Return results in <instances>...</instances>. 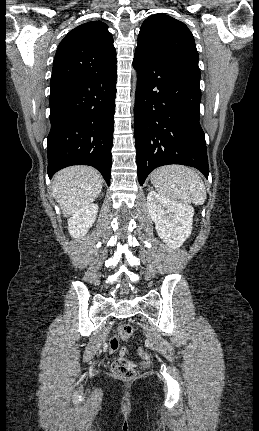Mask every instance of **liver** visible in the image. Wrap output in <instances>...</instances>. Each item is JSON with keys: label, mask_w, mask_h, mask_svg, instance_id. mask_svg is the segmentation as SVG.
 Wrapping results in <instances>:
<instances>
[{"label": "liver", "mask_w": 259, "mask_h": 431, "mask_svg": "<svg viewBox=\"0 0 259 431\" xmlns=\"http://www.w3.org/2000/svg\"><path fill=\"white\" fill-rule=\"evenodd\" d=\"M53 196L65 217L90 205L100 194L103 179L89 166H71L53 177Z\"/></svg>", "instance_id": "1"}]
</instances>
